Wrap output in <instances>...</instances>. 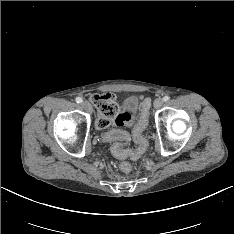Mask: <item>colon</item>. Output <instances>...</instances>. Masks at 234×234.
Segmentation results:
<instances>
[{
    "label": "colon",
    "mask_w": 234,
    "mask_h": 234,
    "mask_svg": "<svg viewBox=\"0 0 234 234\" xmlns=\"http://www.w3.org/2000/svg\"><path fill=\"white\" fill-rule=\"evenodd\" d=\"M151 97L146 95L142 101V119L137 122L136 126L133 128L132 135L137 147L132 149L126 147L132 140L129 132L125 131L124 125L127 122L126 114L121 112L119 106L111 94H97L91 97V101L94 106L99 111L98 127L105 128L111 126L110 131L103 135V139L106 142H113L111 147L112 154L118 159H131L137 160L143 154L146 141L143 137V130L147 122V115H149V107L151 105ZM121 169L123 172H130L132 170V165L128 162L121 164Z\"/></svg>",
    "instance_id": "1"
}]
</instances>
